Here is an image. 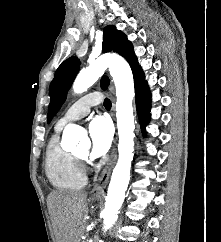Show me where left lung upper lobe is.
I'll use <instances>...</instances> for the list:
<instances>
[{"instance_id":"obj_1","label":"left lung upper lobe","mask_w":221,"mask_h":242,"mask_svg":"<svg viewBox=\"0 0 221 242\" xmlns=\"http://www.w3.org/2000/svg\"><path fill=\"white\" fill-rule=\"evenodd\" d=\"M103 52L114 51L123 56L130 64L132 71H136L141 67L138 64L137 58L134 54L131 42L114 26H107L104 28L103 34ZM79 71V60L73 56L66 59L57 69L54 79L50 84V104L48 108V122L60 109L64 103L71 84L73 83ZM109 84V79L103 77L101 80L102 89H106Z\"/></svg>"}]
</instances>
